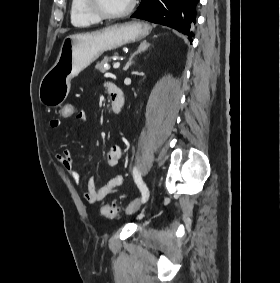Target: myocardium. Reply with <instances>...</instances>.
I'll list each match as a JSON object with an SVG mask.
<instances>
[{"label": "myocardium", "instance_id": "myocardium-1", "mask_svg": "<svg viewBox=\"0 0 280 283\" xmlns=\"http://www.w3.org/2000/svg\"><path fill=\"white\" fill-rule=\"evenodd\" d=\"M84 1H85L86 9L91 14L96 16L99 20H117L124 18L133 11L136 5V0H131L129 6L125 10L119 13L111 14V13H107L100 7L98 0H84Z\"/></svg>", "mask_w": 280, "mask_h": 283}]
</instances>
